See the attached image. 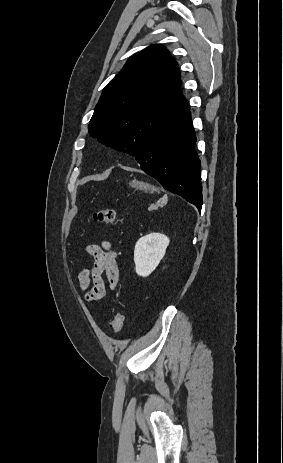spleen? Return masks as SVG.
Returning <instances> with one entry per match:
<instances>
[{
    "label": "spleen",
    "mask_w": 283,
    "mask_h": 463,
    "mask_svg": "<svg viewBox=\"0 0 283 463\" xmlns=\"http://www.w3.org/2000/svg\"><path fill=\"white\" fill-rule=\"evenodd\" d=\"M166 201H167V196L166 195L159 200V202H166Z\"/></svg>",
    "instance_id": "obj_1"
}]
</instances>
